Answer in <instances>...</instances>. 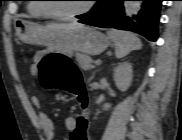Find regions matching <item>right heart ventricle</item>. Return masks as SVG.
<instances>
[{"instance_id": "right-heart-ventricle-1", "label": "right heart ventricle", "mask_w": 182, "mask_h": 140, "mask_svg": "<svg viewBox=\"0 0 182 140\" xmlns=\"http://www.w3.org/2000/svg\"><path fill=\"white\" fill-rule=\"evenodd\" d=\"M32 2L28 5V13L33 16V17H45V16H49L46 12V10L44 9V5L38 3L37 1H41V0H31Z\"/></svg>"}]
</instances>
